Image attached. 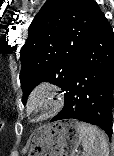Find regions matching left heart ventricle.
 Wrapping results in <instances>:
<instances>
[{"label": "left heart ventricle", "instance_id": "left-heart-ventricle-1", "mask_svg": "<svg viewBox=\"0 0 114 156\" xmlns=\"http://www.w3.org/2000/svg\"><path fill=\"white\" fill-rule=\"evenodd\" d=\"M37 107L39 110L43 109L45 107V99H43V98L39 99V101L37 103Z\"/></svg>", "mask_w": 114, "mask_h": 156}]
</instances>
